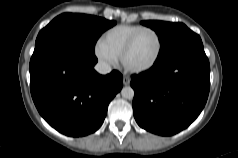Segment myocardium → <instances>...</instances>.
<instances>
[{
  "instance_id": "obj_1",
  "label": "myocardium",
  "mask_w": 238,
  "mask_h": 158,
  "mask_svg": "<svg viewBox=\"0 0 238 158\" xmlns=\"http://www.w3.org/2000/svg\"><path fill=\"white\" fill-rule=\"evenodd\" d=\"M143 32H151L155 35L157 42H158V50L157 53L154 57V59L147 65L142 66V67H131L127 64V56L130 53V51L132 50L137 38L140 36V34H142ZM162 50H163V42H162V38L160 36V34L153 28L150 27H143L141 29H139L138 31H136L128 40V42L126 43L125 47L122 50V53L120 55V60L122 63V66L124 67V69L130 73H142V72H146L150 69H152L158 62V60L161 57L162 54Z\"/></svg>"
}]
</instances>
